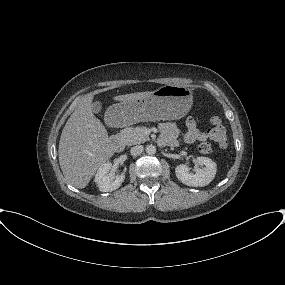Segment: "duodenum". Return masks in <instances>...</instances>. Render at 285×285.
Wrapping results in <instances>:
<instances>
[{"label": "duodenum", "mask_w": 285, "mask_h": 285, "mask_svg": "<svg viewBox=\"0 0 285 285\" xmlns=\"http://www.w3.org/2000/svg\"><path fill=\"white\" fill-rule=\"evenodd\" d=\"M113 141H114V144H115L117 147H121V146L123 145V140H122V138H120V137H115V138L113 139Z\"/></svg>", "instance_id": "duodenum-1"}]
</instances>
